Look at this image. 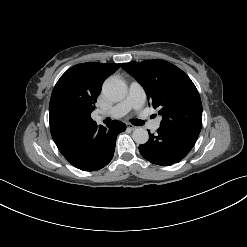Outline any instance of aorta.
Masks as SVG:
<instances>
[{
	"label": "aorta",
	"mask_w": 247,
	"mask_h": 247,
	"mask_svg": "<svg viewBox=\"0 0 247 247\" xmlns=\"http://www.w3.org/2000/svg\"><path fill=\"white\" fill-rule=\"evenodd\" d=\"M102 93L106 99L119 102L127 95V85L119 78H108L102 87ZM132 138L137 144H145L149 139L148 131L144 128H137L132 133Z\"/></svg>",
	"instance_id": "1"
}]
</instances>
